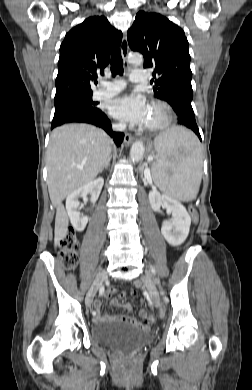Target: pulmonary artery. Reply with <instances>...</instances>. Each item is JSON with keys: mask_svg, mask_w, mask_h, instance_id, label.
I'll list each match as a JSON object with an SVG mask.
<instances>
[{"mask_svg": "<svg viewBox=\"0 0 252 390\" xmlns=\"http://www.w3.org/2000/svg\"><path fill=\"white\" fill-rule=\"evenodd\" d=\"M129 78L132 82H143L146 80V73L142 69H135L130 72ZM125 85L126 84L123 80H116L113 82L101 81L99 88L94 92L93 97L95 99L111 97L119 93L125 87Z\"/></svg>", "mask_w": 252, "mask_h": 390, "instance_id": "pulmonary-artery-1", "label": "pulmonary artery"}]
</instances>
